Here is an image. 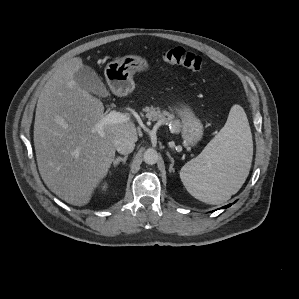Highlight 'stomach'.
I'll return each instance as SVG.
<instances>
[{
  "instance_id": "obj_1",
  "label": "stomach",
  "mask_w": 299,
  "mask_h": 299,
  "mask_svg": "<svg viewBox=\"0 0 299 299\" xmlns=\"http://www.w3.org/2000/svg\"><path fill=\"white\" fill-rule=\"evenodd\" d=\"M149 68L148 61L139 55H126L107 64L104 74L106 81L116 95H127L133 91V75ZM181 119V135L189 146H195L203 136L200 120L187 105L174 108Z\"/></svg>"
}]
</instances>
